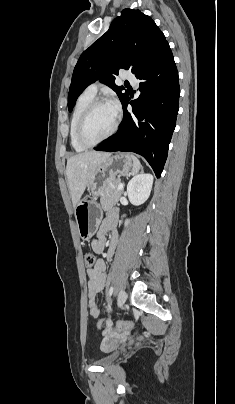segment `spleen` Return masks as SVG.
<instances>
[{"label":"spleen","instance_id":"1","mask_svg":"<svg viewBox=\"0 0 235 404\" xmlns=\"http://www.w3.org/2000/svg\"><path fill=\"white\" fill-rule=\"evenodd\" d=\"M132 159H133V163H134V167L132 170V175H135L138 173L139 169L141 168V164L140 161L138 160V158L134 155H131Z\"/></svg>","mask_w":235,"mask_h":404}]
</instances>
